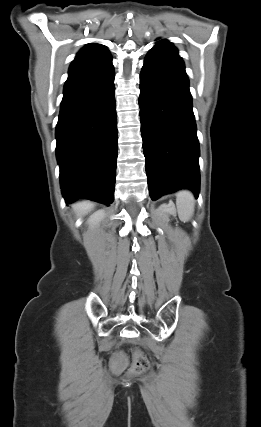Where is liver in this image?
<instances>
[{"mask_svg": "<svg viewBox=\"0 0 261 427\" xmlns=\"http://www.w3.org/2000/svg\"><path fill=\"white\" fill-rule=\"evenodd\" d=\"M72 207H73L74 212L78 216H84L93 210L94 203L87 201V200H84V201H79V202L75 203Z\"/></svg>", "mask_w": 261, "mask_h": 427, "instance_id": "liver-1", "label": "liver"}]
</instances>
